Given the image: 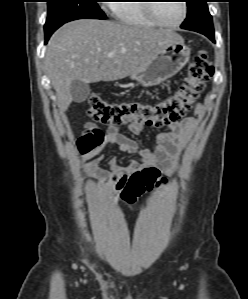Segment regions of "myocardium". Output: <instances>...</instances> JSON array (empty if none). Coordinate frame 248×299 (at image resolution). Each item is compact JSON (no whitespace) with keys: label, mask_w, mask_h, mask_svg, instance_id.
Listing matches in <instances>:
<instances>
[{"label":"myocardium","mask_w":248,"mask_h":299,"mask_svg":"<svg viewBox=\"0 0 248 299\" xmlns=\"http://www.w3.org/2000/svg\"><path fill=\"white\" fill-rule=\"evenodd\" d=\"M151 2H155V1H151ZM157 4L158 3H148L146 5V9H147V12H148L150 18L154 22H156L159 26L167 27V28H176V27H179L180 25H182L184 23V21L186 20L187 14H188V7H187L186 1L181 0L182 9H183L182 17L177 23H173V24L166 23L159 17V15L156 12Z\"/></svg>","instance_id":"myocardium-1"}]
</instances>
